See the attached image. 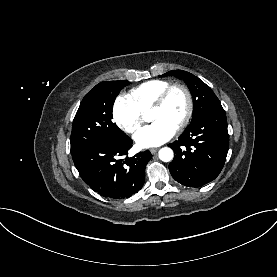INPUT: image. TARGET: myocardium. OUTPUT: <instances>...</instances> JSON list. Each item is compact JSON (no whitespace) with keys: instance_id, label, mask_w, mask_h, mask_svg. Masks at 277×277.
Here are the masks:
<instances>
[{"instance_id":"f54148a6","label":"myocardium","mask_w":277,"mask_h":277,"mask_svg":"<svg viewBox=\"0 0 277 277\" xmlns=\"http://www.w3.org/2000/svg\"><path fill=\"white\" fill-rule=\"evenodd\" d=\"M176 89L183 91V93L185 94L186 99H187L186 113H185L183 119L181 120V122L176 127L177 130H182L183 128H185L188 125V123L190 122V120L192 118L193 112H194L193 95H192L190 89L186 85H184L182 83H175V84L169 85L166 89H164L160 93V95L157 97V99L151 105L150 110H157V109L162 108L165 105V103L167 102L170 94Z\"/></svg>"}]
</instances>
